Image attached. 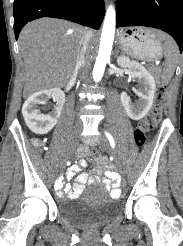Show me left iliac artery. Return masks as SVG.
<instances>
[{"instance_id": "left-iliac-artery-1", "label": "left iliac artery", "mask_w": 183, "mask_h": 246, "mask_svg": "<svg viewBox=\"0 0 183 246\" xmlns=\"http://www.w3.org/2000/svg\"><path fill=\"white\" fill-rule=\"evenodd\" d=\"M105 135H106V137L108 138L111 147H112V148H115V141H114L112 135H111L109 132H107V131H105Z\"/></svg>"}]
</instances>
